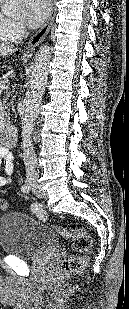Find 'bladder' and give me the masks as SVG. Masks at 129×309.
<instances>
[{
    "label": "bladder",
    "instance_id": "bladder-1",
    "mask_svg": "<svg viewBox=\"0 0 129 309\" xmlns=\"http://www.w3.org/2000/svg\"><path fill=\"white\" fill-rule=\"evenodd\" d=\"M57 246L55 230L33 217L20 212L0 217V247L7 255L32 259Z\"/></svg>",
    "mask_w": 129,
    "mask_h": 309
}]
</instances>
